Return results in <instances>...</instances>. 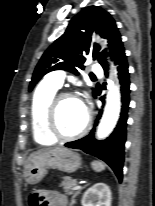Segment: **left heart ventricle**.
<instances>
[{
    "label": "left heart ventricle",
    "instance_id": "left-heart-ventricle-1",
    "mask_svg": "<svg viewBox=\"0 0 155 206\" xmlns=\"http://www.w3.org/2000/svg\"><path fill=\"white\" fill-rule=\"evenodd\" d=\"M86 118L85 107L77 98H65L60 101L57 109V126L63 134L79 131Z\"/></svg>",
    "mask_w": 155,
    "mask_h": 206
}]
</instances>
